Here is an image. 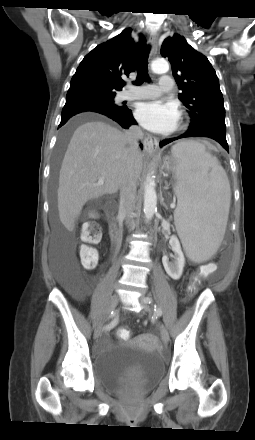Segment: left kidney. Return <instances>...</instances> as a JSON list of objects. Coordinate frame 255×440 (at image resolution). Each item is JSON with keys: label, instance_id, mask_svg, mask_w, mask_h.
<instances>
[{"label": "left kidney", "instance_id": "1", "mask_svg": "<svg viewBox=\"0 0 255 440\" xmlns=\"http://www.w3.org/2000/svg\"><path fill=\"white\" fill-rule=\"evenodd\" d=\"M169 223L163 222L164 228H169ZM169 244L172 247V251L174 252L173 258L174 261L170 262L167 255H163L162 257V263L165 268L166 273L174 280L180 279L184 264H185V258L184 254L181 250L180 242L177 239L176 236H171Z\"/></svg>", "mask_w": 255, "mask_h": 440}]
</instances>
